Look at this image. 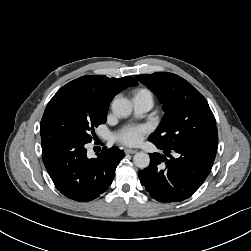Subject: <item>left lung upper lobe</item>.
Wrapping results in <instances>:
<instances>
[{"label":"left lung upper lobe","mask_w":251,"mask_h":251,"mask_svg":"<svg viewBox=\"0 0 251 251\" xmlns=\"http://www.w3.org/2000/svg\"><path fill=\"white\" fill-rule=\"evenodd\" d=\"M135 78L158 96L165 111L149 141L167 149L197 141L218 142L214 115L206 99L189 82L168 72Z\"/></svg>","instance_id":"1"}]
</instances>
